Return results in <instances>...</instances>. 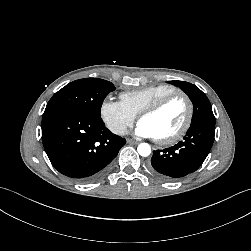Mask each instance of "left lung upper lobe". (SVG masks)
<instances>
[{
    "label": "left lung upper lobe",
    "instance_id": "left-lung-upper-lobe-1",
    "mask_svg": "<svg viewBox=\"0 0 251 251\" xmlns=\"http://www.w3.org/2000/svg\"><path fill=\"white\" fill-rule=\"evenodd\" d=\"M176 83L190 95L193 102V116L191 124L203 120L215 122L212 107L207 96L198 87L191 83L185 81H176Z\"/></svg>",
    "mask_w": 251,
    "mask_h": 251
}]
</instances>
